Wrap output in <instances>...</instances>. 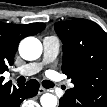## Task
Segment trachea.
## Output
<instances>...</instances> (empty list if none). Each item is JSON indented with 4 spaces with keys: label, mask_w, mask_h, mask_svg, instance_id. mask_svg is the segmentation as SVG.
<instances>
[{
    "label": "trachea",
    "mask_w": 107,
    "mask_h": 107,
    "mask_svg": "<svg viewBox=\"0 0 107 107\" xmlns=\"http://www.w3.org/2000/svg\"><path fill=\"white\" fill-rule=\"evenodd\" d=\"M42 86L44 88H52V87H54V83L52 81H49V80H44L42 82Z\"/></svg>",
    "instance_id": "1"
}]
</instances>
